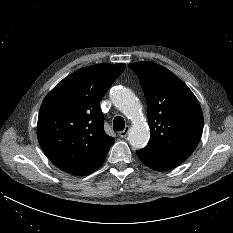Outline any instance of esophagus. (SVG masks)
Masks as SVG:
<instances>
[{
    "label": "esophagus",
    "mask_w": 233,
    "mask_h": 233,
    "mask_svg": "<svg viewBox=\"0 0 233 233\" xmlns=\"http://www.w3.org/2000/svg\"><path fill=\"white\" fill-rule=\"evenodd\" d=\"M128 132H129V127H126L124 130L119 132V136L121 138H125L128 135Z\"/></svg>",
    "instance_id": "obj_1"
}]
</instances>
